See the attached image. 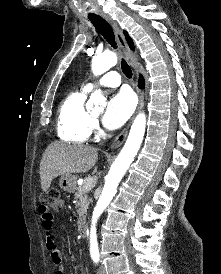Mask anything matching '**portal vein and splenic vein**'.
I'll return each instance as SVG.
<instances>
[{"mask_svg": "<svg viewBox=\"0 0 221 274\" xmlns=\"http://www.w3.org/2000/svg\"><path fill=\"white\" fill-rule=\"evenodd\" d=\"M93 186V179L91 178H87L85 180V188L86 189H90Z\"/></svg>", "mask_w": 221, "mask_h": 274, "instance_id": "obj_1", "label": "portal vein and splenic vein"}]
</instances>
